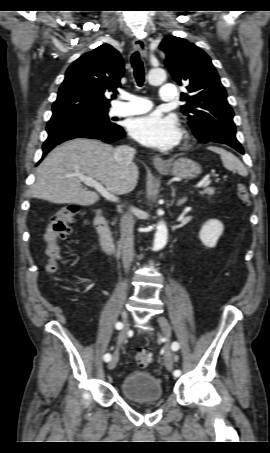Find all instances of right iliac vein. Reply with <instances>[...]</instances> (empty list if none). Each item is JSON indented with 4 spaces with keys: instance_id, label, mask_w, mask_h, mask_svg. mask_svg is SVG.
Segmentation results:
<instances>
[{
    "instance_id": "obj_1",
    "label": "right iliac vein",
    "mask_w": 270,
    "mask_h": 453,
    "mask_svg": "<svg viewBox=\"0 0 270 453\" xmlns=\"http://www.w3.org/2000/svg\"><path fill=\"white\" fill-rule=\"evenodd\" d=\"M121 319H122V323H123V328H122L121 332L119 333V337H118L119 344H121L125 340V338L127 336L128 328H129L128 314L125 309H123L121 312ZM118 360H119V354H118V351H116L113 354L112 359L108 363V369L109 370L114 369L118 363Z\"/></svg>"
}]
</instances>
